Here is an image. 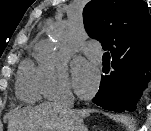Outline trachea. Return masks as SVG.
Instances as JSON below:
<instances>
[{"label":"trachea","instance_id":"1","mask_svg":"<svg viewBox=\"0 0 151 131\" xmlns=\"http://www.w3.org/2000/svg\"><path fill=\"white\" fill-rule=\"evenodd\" d=\"M103 61L104 62H110V54L109 52H105L103 55Z\"/></svg>","mask_w":151,"mask_h":131}]
</instances>
